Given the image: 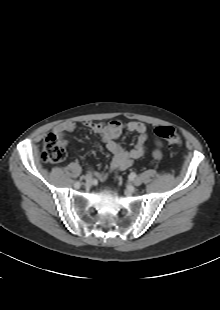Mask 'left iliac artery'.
<instances>
[{
  "instance_id": "obj_1",
  "label": "left iliac artery",
  "mask_w": 220,
  "mask_h": 310,
  "mask_svg": "<svg viewBox=\"0 0 220 310\" xmlns=\"http://www.w3.org/2000/svg\"><path fill=\"white\" fill-rule=\"evenodd\" d=\"M135 177H136V173H135V172H132V173H130V175H129V180L132 181Z\"/></svg>"
}]
</instances>
